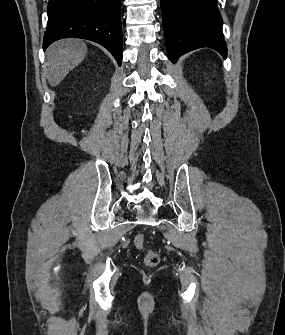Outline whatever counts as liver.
<instances>
[{
	"label": "liver",
	"mask_w": 285,
	"mask_h": 335,
	"mask_svg": "<svg viewBox=\"0 0 285 335\" xmlns=\"http://www.w3.org/2000/svg\"><path fill=\"white\" fill-rule=\"evenodd\" d=\"M87 54V46L82 40H60L47 50L45 70L47 80L54 88L65 76L83 62Z\"/></svg>",
	"instance_id": "6515ba94"
}]
</instances>
